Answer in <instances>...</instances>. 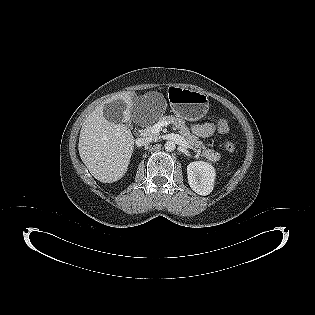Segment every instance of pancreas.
Returning <instances> with one entry per match:
<instances>
[{
  "instance_id": "1",
  "label": "pancreas",
  "mask_w": 315,
  "mask_h": 315,
  "mask_svg": "<svg viewBox=\"0 0 315 315\" xmlns=\"http://www.w3.org/2000/svg\"><path fill=\"white\" fill-rule=\"evenodd\" d=\"M159 121H167L168 123L173 124L175 128L179 130L180 135L186 139L188 144H190L193 150L200 154L202 157H205L209 162H216L220 159V153L215 152L212 149H207L203 141L199 140L197 136L193 135L190 132L189 128L185 125V121L182 118L173 115L163 116L159 118ZM151 128V126H148L143 132L144 135L153 138L157 137L158 135L152 133Z\"/></svg>"
}]
</instances>
